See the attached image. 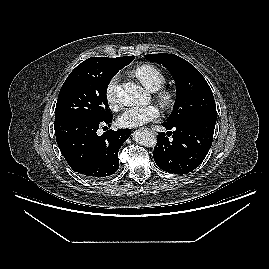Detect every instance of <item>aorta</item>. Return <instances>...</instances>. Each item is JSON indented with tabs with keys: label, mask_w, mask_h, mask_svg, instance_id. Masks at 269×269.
<instances>
[{
	"label": "aorta",
	"mask_w": 269,
	"mask_h": 269,
	"mask_svg": "<svg viewBox=\"0 0 269 269\" xmlns=\"http://www.w3.org/2000/svg\"><path fill=\"white\" fill-rule=\"evenodd\" d=\"M118 101L124 106H135L145 97V92L140 86L127 82L115 88ZM133 139L145 147H154L157 144L156 137L146 129H139L133 133Z\"/></svg>",
	"instance_id": "1"
}]
</instances>
